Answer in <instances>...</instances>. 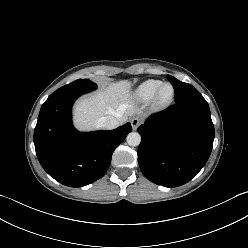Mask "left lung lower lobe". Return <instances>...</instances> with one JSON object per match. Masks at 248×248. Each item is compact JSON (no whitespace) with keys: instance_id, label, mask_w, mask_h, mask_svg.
Segmentation results:
<instances>
[{"instance_id":"obj_1","label":"left lung lower lobe","mask_w":248,"mask_h":248,"mask_svg":"<svg viewBox=\"0 0 248 248\" xmlns=\"http://www.w3.org/2000/svg\"><path fill=\"white\" fill-rule=\"evenodd\" d=\"M138 163L150 181L177 187L190 181L212 150L214 125L203 97L175 103L138 127Z\"/></svg>"}]
</instances>
